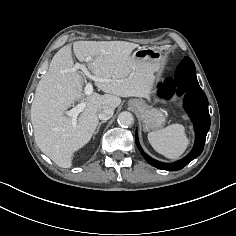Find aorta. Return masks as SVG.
I'll return each mask as SVG.
<instances>
[{"label": "aorta", "instance_id": "aorta-1", "mask_svg": "<svg viewBox=\"0 0 236 236\" xmlns=\"http://www.w3.org/2000/svg\"><path fill=\"white\" fill-rule=\"evenodd\" d=\"M118 123L122 127L131 126L134 123L133 115L128 111L121 112L118 115Z\"/></svg>", "mask_w": 236, "mask_h": 236}]
</instances>
